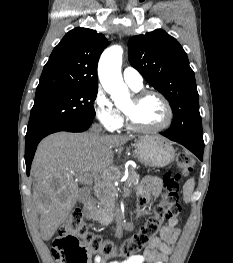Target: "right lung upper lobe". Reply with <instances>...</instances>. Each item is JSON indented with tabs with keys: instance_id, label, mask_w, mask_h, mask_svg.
Instances as JSON below:
<instances>
[{
	"instance_id": "right-lung-upper-lobe-1",
	"label": "right lung upper lobe",
	"mask_w": 233,
	"mask_h": 263,
	"mask_svg": "<svg viewBox=\"0 0 233 263\" xmlns=\"http://www.w3.org/2000/svg\"><path fill=\"white\" fill-rule=\"evenodd\" d=\"M107 44L105 36L94 30L69 31L44 66L36 95L74 87H97V64Z\"/></svg>"
}]
</instances>
